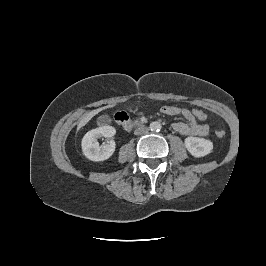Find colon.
<instances>
[{"label": "colon", "mask_w": 266, "mask_h": 266, "mask_svg": "<svg viewBox=\"0 0 266 266\" xmlns=\"http://www.w3.org/2000/svg\"><path fill=\"white\" fill-rule=\"evenodd\" d=\"M191 113L193 115V117L196 119V120H205L207 118V114L205 111L201 110V109H198V108H193L191 110ZM216 136L218 138H222L225 136V131L224 130H217L215 132Z\"/></svg>", "instance_id": "5ec220e1"}]
</instances>
